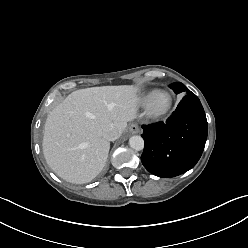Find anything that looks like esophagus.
<instances>
[{"mask_svg": "<svg viewBox=\"0 0 248 248\" xmlns=\"http://www.w3.org/2000/svg\"><path fill=\"white\" fill-rule=\"evenodd\" d=\"M129 131L132 133V134H137L139 132V127L137 124L135 123H132L130 124L129 126Z\"/></svg>", "mask_w": 248, "mask_h": 248, "instance_id": "obj_1", "label": "esophagus"}]
</instances>
